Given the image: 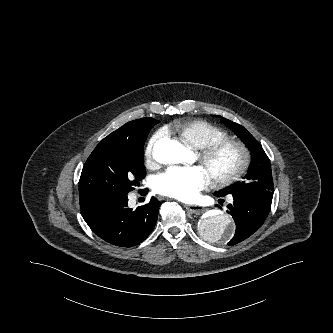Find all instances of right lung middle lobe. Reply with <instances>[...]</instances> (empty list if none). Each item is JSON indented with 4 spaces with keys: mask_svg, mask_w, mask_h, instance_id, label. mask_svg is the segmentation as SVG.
<instances>
[{
    "mask_svg": "<svg viewBox=\"0 0 333 333\" xmlns=\"http://www.w3.org/2000/svg\"><path fill=\"white\" fill-rule=\"evenodd\" d=\"M142 120L136 142L102 140L93 150L80 176V199L108 194L127 195L139 186L146 174L143 145L150 129L159 123L153 118Z\"/></svg>",
    "mask_w": 333,
    "mask_h": 333,
    "instance_id": "right-lung-middle-lobe-1",
    "label": "right lung middle lobe"
}]
</instances>
